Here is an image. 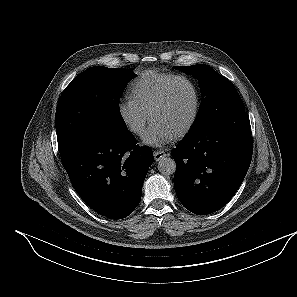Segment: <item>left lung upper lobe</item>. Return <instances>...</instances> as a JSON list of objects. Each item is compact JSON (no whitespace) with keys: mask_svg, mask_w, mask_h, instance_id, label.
<instances>
[{"mask_svg":"<svg viewBox=\"0 0 297 297\" xmlns=\"http://www.w3.org/2000/svg\"><path fill=\"white\" fill-rule=\"evenodd\" d=\"M175 69L194 75L200 85L203 99L191 132L238 111H245L235 87L210 66L198 64L175 66Z\"/></svg>","mask_w":297,"mask_h":297,"instance_id":"left-lung-upper-lobe-1","label":"left lung upper lobe"}]
</instances>
